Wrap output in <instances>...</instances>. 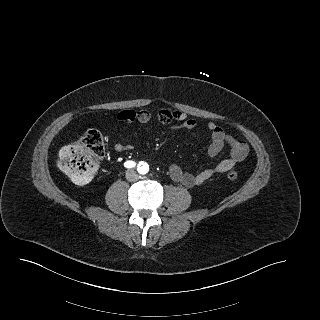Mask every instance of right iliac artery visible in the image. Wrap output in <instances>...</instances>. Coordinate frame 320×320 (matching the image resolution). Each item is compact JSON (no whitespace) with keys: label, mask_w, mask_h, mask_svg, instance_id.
<instances>
[{"label":"right iliac artery","mask_w":320,"mask_h":320,"mask_svg":"<svg viewBox=\"0 0 320 320\" xmlns=\"http://www.w3.org/2000/svg\"><path fill=\"white\" fill-rule=\"evenodd\" d=\"M124 166H125L126 168H133V167L136 166V163H135L134 161L128 160V161H126V162L124 163Z\"/></svg>","instance_id":"obj_1"}]
</instances>
